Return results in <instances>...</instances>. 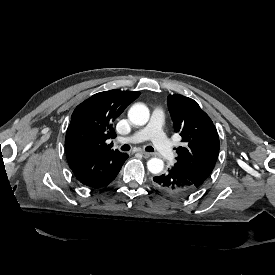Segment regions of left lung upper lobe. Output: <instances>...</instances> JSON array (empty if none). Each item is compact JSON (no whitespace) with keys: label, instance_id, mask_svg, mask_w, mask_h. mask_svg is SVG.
Returning <instances> with one entry per match:
<instances>
[{"label":"left lung upper lobe","instance_id":"obj_1","mask_svg":"<svg viewBox=\"0 0 275 275\" xmlns=\"http://www.w3.org/2000/svg\"><path fill=\"white\" fill-rule=\"evenodd\" d=\"M174 130L182 137L184 147L177 148L174 165L198 188L214 169L219 154V136L210 117L198 103L174 94L167 98Z\"/></svg>","mask_w":275,"mask_h":275}]
</instances>
